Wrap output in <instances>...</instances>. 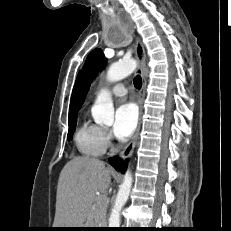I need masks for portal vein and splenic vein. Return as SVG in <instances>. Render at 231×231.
Returning <instances> with one entry per match:
<instances>
[{
    "label": "portal vein and splenic vein",
    "mask_w": 231,
    "mask_h": 231,
    "mask_svg": "<svg viewBox=\"0 0 231 231\" xmlns=\"http://www.w3.org/2000/svg\"><path fill=\"white\" fill-rule=\"evenodd\" d=\"M105 200H106V198L104 196H100V197L97 198V202L100 203V204L105 202Z\"/></svg>",
    "instance_id": "obj_1"
}]
</instances>
